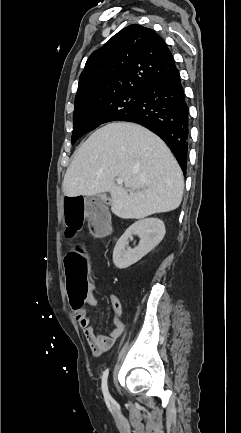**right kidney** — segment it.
<instances>
[{"label":"right kidney","instance_id":"right-kidney-1","mask_svg":"<svg viewBox=\"0 0 241 433\" xmlns=\"http://www.w3.org/2000/svg\"><path fill=\"white\" fill-rule=\"evenodd\" d=\"M164 222L158 218H146L132 224L117 241L113 250V263L118 269H125L138 262L165 236ZM133 235L140 237L137 247L131 249L126 246Z\"/></svg>","mask_w":241,"mask_h":433}]
</instances>
